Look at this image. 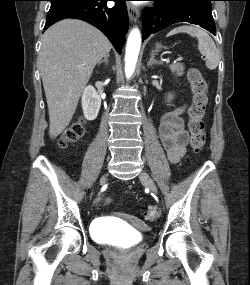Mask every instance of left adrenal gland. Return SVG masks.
<instances>
[{"label":"left adrenal gland","mask_w":250,"mask_h":285,"mask_svg":"<svg viewBox=\"0 0 250 285\" xmlns=\"http://www.w3.org/2000/svg\"><path fill=\"white\" fill-rule=\"evenodd\" d=\"M161 63H162L161 61H158V60L155 59L154 53L150 54V59H149V61L147 63L148 66L158 65V64H161Z\"/></svg>","instance_id":"obj_1"}]
</instances>
